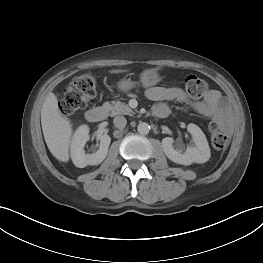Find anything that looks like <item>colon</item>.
Returning <instances> with one entry per match:
<instances>
[{
	"label": "colon",
	"instance_id": "obj_1",
	"mask_svg": "<svg viewBox=\"0 0 263 263\" xmlns=\"http://www.w3.org/2000/svg\"><path fill=\"white\" fill-rule=\"evenodd\" d=\"M185 91L191 98H201L207 91L205 80L191 75L185 79ZM96 95V81L93 76L84 74L74 78L64 89L60 101V109L66 115H71L84 108ZM211 143L217 150L225 149L229 137L216 122L210 124Z\"/></svg>",
	"mask_w": 263,
	"mask_h": 263
}]
</instances>
